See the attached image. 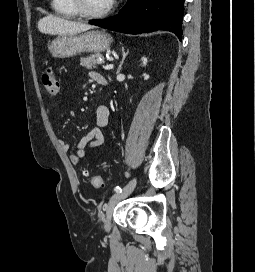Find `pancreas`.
<instances>
[{"mask_svg": "<svg viewBox=\"0 0 255 272\" xmlns=\"http://www.w3.org/2000/svg\"><path fill=\"white\" fill-rule=\"evenodd\" d=\"M103 62H104V57L103 55L99 53L90 55L88 57H83L80 59V65L87 69H92V68L95 69L97 64H101Z\"/></svg>", "mask_w": 255, "mask_h": 272, "instance_id": "obj_1", "label": "pancreas"}]
</instances>
